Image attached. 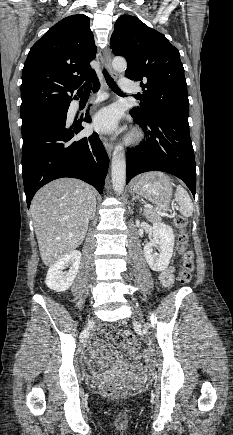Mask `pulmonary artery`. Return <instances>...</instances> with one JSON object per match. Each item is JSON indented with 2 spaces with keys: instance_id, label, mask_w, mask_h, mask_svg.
I'll list each match as a JSON object with an SVG mask.
<instances>
[{
  "instance_id": "1",
  "label": "pulmonary artery",
  "mask_w": 233,
  "mask_h": 435,
  "mask_svg": "<svg viewBox=\"0 0 233 435\" xmlns=\"http://www.w3.org/2000/svg\"><path fill=\"white\" fill-rule=\"evenodd\" d=\"M133 80L130 78H122L120 80V90L123 93H132L135 91V87L132 85ZM103 99V96H100L98 98L95 99V101L97 100H101Z\"/></svg>"
}]
</instances>
